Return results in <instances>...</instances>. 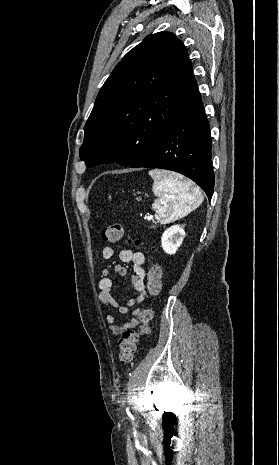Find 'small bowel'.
Here are the masks:
<instances>
[{
    "instance_id": "obj_1",
    "label": "small bowel",
    "mask_w": 279,
    "mask_h": 465,
    "mask_svg": "<svg viewBox=\"0 0 279 465\" xmlns=\"http://www.w3.org/2000/svg\"><path fill=\"white\" fill-rule=\"evenodd\" d=\"M101 256L105 260L113 259L114 249L111 246L103 247L101 250ZM97 257L98 255L96 254L95 258ZM119 257L123 262L132 264L133 275L131 277V284L137 295L129 299L125 305H119L114 296L112 295L113 279L110 276V270L104 269L102 272V277L98 283L99 299L103 304L112 308H116L120 313L125 314L145 299V256L141 252L121 248ZM114 272L120 276H125L127 274L126 268L121 265L115 266ZM139 312L140 309H134L132 311L133 317L129 318L126 322L121 324L116 323V319L113 315H107L105 317V321L109 330L113 334L120 335L125 331L133 329L139 325Z\"/></svg>"
}]
</instances>
